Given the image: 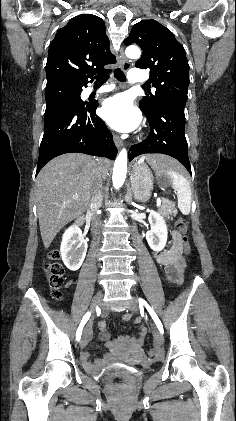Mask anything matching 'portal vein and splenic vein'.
Segmentation results:
<instances>
[{
    "instance_id": "portal-vein-and-splenic-vein-1",
    "label": "portal vein and splenic vein",
    "mask_w": 236,
    "mask_h": 421,
    "mask_svg": "<svg viewBox=\"0 0 236 421\" xmlns=\"http://www.w3.org/2000/svg\"><path fill=\"white\" fill-rule=\"evenodd\" d=\"M72 198H73V200H78L79 196H78V194H72ZM156 205L157 206L161 205V198H157Z\"/></svg>"
}]
</instances>
